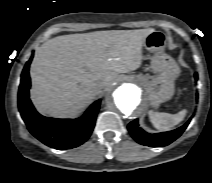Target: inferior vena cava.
Here are the masks:
<instances>
[{"label": "inferior vena cava", "mask_w": 212, "mask_h": 183, "mask_svg": "<svg viewBox=\"0 0 212 183\" xmlns=\"http://www.w3.org/2000/svg\"><path fill=\"white\" fill-rule=\"evenodd\" d=\"M104 87V84L103 83H98V84H96V89L97 90H101L102 88Z\"/></svg>", "instance_id": "inferior-vena-cava-1"}]
</instances>
